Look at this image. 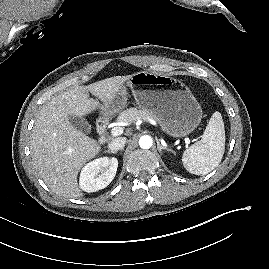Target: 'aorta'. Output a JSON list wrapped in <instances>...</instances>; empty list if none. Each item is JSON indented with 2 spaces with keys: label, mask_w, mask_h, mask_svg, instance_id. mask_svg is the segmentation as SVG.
<instances>
[{
  "label": "aorta",
  "mask_w": 269,
  "mask_h": 269,
  "mask_svg": "<svg viewBox=\"0 0 269 269\" xmlns=\"http://www.w3.org/2000/svg\"><path fill=\"white\" fill-rule=\"evenodd\" d=\"M152 145H153V140L148 135H144L139 139V146L142 149H150Z\"/></svg>",
  "instance_id": "aorta-1"
}]
</instances>
